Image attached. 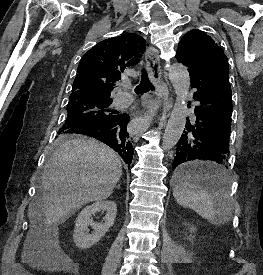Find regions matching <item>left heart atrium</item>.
I'll use <instances>...</instances> for the list:
<instances>
[{"label":"left heart atrium","instance_id":"obj_1","mask_svg":"<svg viewBox=\"0 0 263 275\" xmlns=\"http://www.w3.org/2000/svg\"><path fill=\"white\" fill-rule=\"evenodd\" d=\"M142 126H143V121H141V120H136V121H135V127L140 128V127H142Z\"/></svg>","mask_w":263,"mask_h":275}]
</instances>
